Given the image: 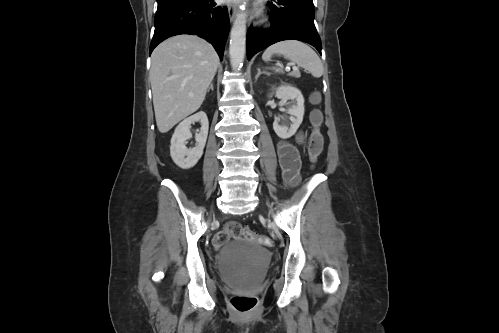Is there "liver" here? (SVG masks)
I'll list each match as a JSON object with an SVG mask.
<instances>
[{
	"label": "liver",
	"mask_w": 499,
	"mask_h": 333,
	"mask_svg": "<svg viewBox=\"0 0 499 333\" xmlns=\"http://www.w3.org/2000/svg\"><path fill=\"white\" fill-rule=\"evenodd\" d=\"M218 64L212 45L194 35H177L155 48L150 81L161 133L200 108Z\"/></svg>",
	"instance_id": "1"
}]
</instances>
